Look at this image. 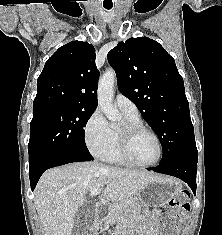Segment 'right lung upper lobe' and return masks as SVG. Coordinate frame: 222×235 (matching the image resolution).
Instances as JSON below:
<instances>
[{
	"label": "right lung upper lobe",
	"instance_id": "right-lung-upper-lobe-1",
	"mask_svg": "<svg viewBox=\"0 0 222 235\" xmlns=\"http://www.w3.org/2000/svg\"><path fill=\"white\" fill-rule=\"evenodd\" d=\"M91 44L72 41L60 47L45 63L37 80L34 112L54 105L95 110L99 72Z\"/></svg>",
	"mask_w": 222,
	"mask_h": 235
}]
</instances>
